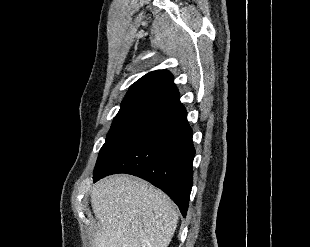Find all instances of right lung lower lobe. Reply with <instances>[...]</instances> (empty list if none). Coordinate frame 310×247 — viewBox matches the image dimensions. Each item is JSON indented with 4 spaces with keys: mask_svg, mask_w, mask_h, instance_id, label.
Wrapping results in <instances>:
<instances>
[{
    "mask_svg": "<svg viewBox=\"0 0 310 247\" xmlns=\"http://www.w3.org/2000/svg\"><path fill=\"white\" fill-rule=\"evenodd\" d=\"M192 135L186 109L179 102L133 134L108 162L94 171V182L116 173L138 176L163 190L185 217L193 184Z\"/></svg>",
    "mask_w": 310,
    "mask_h": 247,
    "instance_id": "1",
    "label": "right lung lower lobe"
}]
</instances>
